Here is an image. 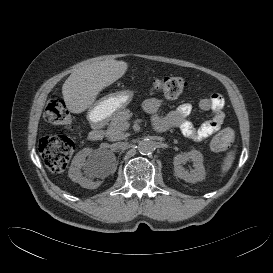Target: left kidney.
<instances>
[{
  "label": "left kidney",
  "instance_id": "5707ae66",
  "mask_svg": "<svg viewBox=\"0 0 273 273\" xmlns=\"http://www.w3.org/2000/svg\"><path fill=\"white\" fill-rule=\"evenodd\" d=\"M189 159L193 162L194 166V170L190 172L183 167V163ZM173 165L175 176L186 182L196 183L205 179L206 172L203 165V155L197 150L177 154L174 157Z\"/></svg>",
  "mask_w": 273,
  "mask_h": 273
}]
</instances>
